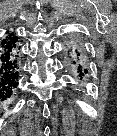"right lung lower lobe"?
<instances>
[{
    "label": "right lung lower lobe",
    "instance_id": "1",
    "mask_svg": "<svg viewBox=\"0 0 117 136\" xmlns=\"http://www.w3.org/2000/svg\"><path fill=\"white\" fill-rule=\"evenodd\" d=\"M14 32L7 31L0 41V102L7 101L18 85L21 74V60Z\"/></svg>",
    "mask_w": 117,
    "mask_h": 136
}]
</instances>
